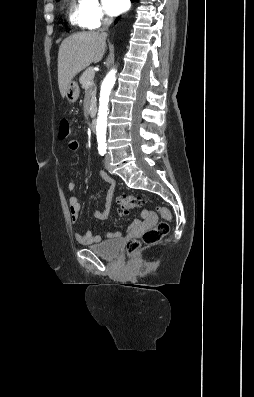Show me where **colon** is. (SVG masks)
<instances>
[{"instance_id":"obj_1","label":"colon","mask_w":254,"mask_h":397,"mask_svg":"<svg viewBox=\"0 0 254 397\" xmlns=\"http://www.w3.org/2000/svg\"><path fill=\"white\" fill-rule=\"evenodd\" d=\"M70 135V124L68 120L62 119L59 123V139H66ZM145 200L141 196L122 195L119 199L120 210L128 212L129 210L143 206ZM157 211L166 220L159 222L155 227L145 231L140 239H131L126 244L127 253L131 254L136 251L142 244L153 245L160 241L169 233L170 227L167 223L171 219V213L166 207H158Z\"/></svg>"}]
</instances>
